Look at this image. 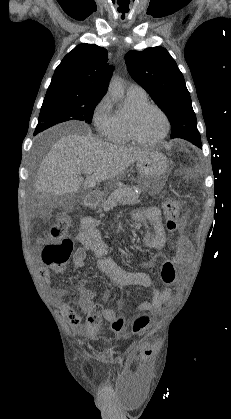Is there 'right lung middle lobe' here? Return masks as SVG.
I'll return each mask as SVG.
<instances>
[{"mask_svg": "<svg viewBox=\"0 0 231 419\" xmlns=\"http://www.w3.org/2000/svg\"><path fill=\"white\" fill-rule=\"evenodd\" d=\"M101 99L99 96L78 95L64 88L48 89L34 135L69 120L91 124L94 109Z\"/></svg>", "mask_w": 231, "mask_h": 419, "instance_id": "right-lung-middle-lobe-1", "label": "right lung middle lobe"}]
</instances>
